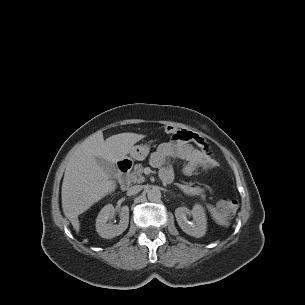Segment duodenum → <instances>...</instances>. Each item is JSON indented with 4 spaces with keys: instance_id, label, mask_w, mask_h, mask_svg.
Returning a JSON list of instances; mask_svg holds the SVG:
<instances>
[{
    "instance_id": "410a0bca",
    "label": "duodenum",
    "mask_w": 305,
    "mask_h": 305,
    "mask_svg": "<svg viewBox=\"0 0 305 305\" xmlns=\"http://www.w3.org/2000/svg\"><path fill=\"white\" fill-rule=\"evenodd\" d=\"M131 167L132 165L128 161H121L118 163L119 184L122 189H126L129 185V172Z\"/></svg>"
}]
</instances>
